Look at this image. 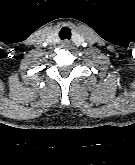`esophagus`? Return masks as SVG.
<instances>
[{
    "label": "esophagus",
    "mask_w": 135,
    "mask_h": 165,
    "mask_svg": "<svg viewBox=\"0 0 135 165\" xmlns=\"http://www.w3.org/2000/svg\"><path fill=\"white\" fill-rule=\"evenodd\" d=\"M63 46L66 47V48L69 47L70 46V42L69 41H64L63 42Z\"/></svg>",
    "instance_id": "1"
}]
</instances>
